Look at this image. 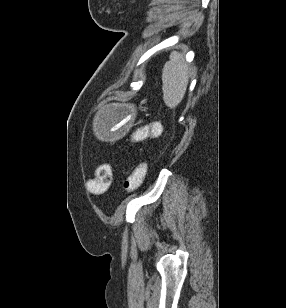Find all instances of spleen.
Returning a JSON list of instances; mask_svg holds the SVG:
<instances>
[{
    "mask_svg": "<svg viewBox=\"0 0 286 308\" xmlns=\"http://www.w3.org/2000/svg\"><path fill=\"white\" fill-rule=\"evenodd\" d=\"M189 81L188 66L183 61V55L172 52L170 61L162 73V90L165 104L170 108L177 107L182 101Z\"/></svg>",
    "mask_w": 286,
    "mask_h": 308,
    "instance_id": "obj_1",
    "label": "spleen"
}]
</instances>
